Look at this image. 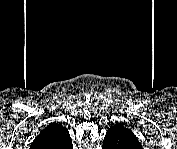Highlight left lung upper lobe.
I'll return each mask as SVG.
<instances>
[{
  "label": "left lung upper lobe",
  "instance_id": "1",
  "mask_svg": "<svg viewBox=\"0 0 177 149\" xmlns=\"http://www.w3.org/2000/svg\"><path fill=\"white\" fill-rule=\"evenodd\" d=\"M106 138H118L122 146L118 147L117 149H140L141 148L140 142L137 140L136 136L132 133L131 130L126 128V126H124L121 123H117L111 126L108 129L104 140Z\"/></svg>",
  "mask_w": 177,
  "mask_h": 149
}]
</instances>
